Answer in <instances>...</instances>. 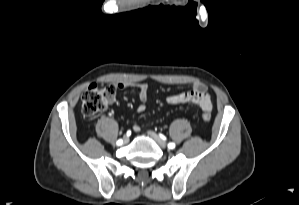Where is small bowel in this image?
Returning <instances> with one entry per match:
<instances>
[{"label": "small bowel", "instance_id": "1", "mask_svg": "<svg viewBox=\"0 0 299 205\" xmlns=\"http://www.w3.org/2000/svg\"><path fill=\"white\" fill-rule=\"evenodd\" d=\"M117 87L124 89L127 87L135 88L138 91V97L142 102L137 107V113L141 114L146 110L145 102L148 99L149 85L147 83H118ZM167 102L171 105H186L194 104L199 106L203 111L210 112L212 110V101L210 95L207 92L206 87L201 83H194L189 91L179 94L171 95L167 97ZM133 131L139 132L140 126L135 124Z\"/></svg>", "mask_w": 299, "mask_h": 205}]
</instances>
